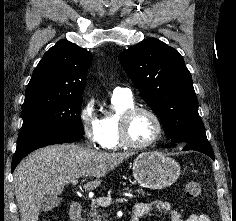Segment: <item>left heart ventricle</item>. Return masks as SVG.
<instances>
[{
  "mask_svg": "<svg viewBox=\"0 0 236 221\" xmlns=\"http://www.w3.org/2000/svg\"><path fill=\"white\" fill-rule=\"evenodd\" d=\"M156 134V123L153 118L146 113L135 115L129 126L130 138L139 144L147 143Z\"/></svg>",
  "mask_w": 236,
  "mask_h": 221,
  "instance_id": "1",
  "label": "left heart ventricle"
}]
</instances>
